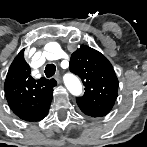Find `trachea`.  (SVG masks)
<instances>
[{
	"label": "trachea",
	"mask_w": 147,
	"mask_h": 147,
	"mask_svg": "<svg viewBox=\"0 0 147 147\" xmlns=\"http://www.w3.org/2000/svg\"><path fill=\"white\" fill-rule=\"evenodd\" d=\"M55 72H56V66L53 63L46 65L45 67L46 77L48 78L52 77L55 74Z\"/></svg>",
	"instance_id": "1"
}]
</instances>
